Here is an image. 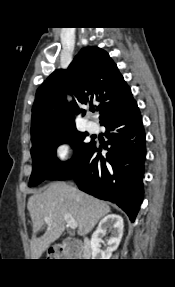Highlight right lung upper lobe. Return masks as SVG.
Here are the masks:
<instances>
[{
    "instance_id": "obj_1",
    "label": "right lung upper lobe",
    "mask_w": 175,
    "mask_h": 287,
    "mask_svg": "<svg viewBox=\"0 0 175 287\" xmlns=\"http://www.w3.org/2000/svg\"><path fill=\"white\" fill-rule=\"evenodd\" d=\"M67 93L74 95L73 102H67ZM132 100L131 89L109 54L95 46L85 47L67 70L54 71L38 88L32 109V143L76 128L74 113L85 114L78 104L100 102L101 121Z\"/></svg>"
}]
</instances>
